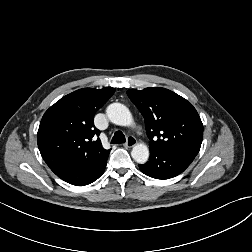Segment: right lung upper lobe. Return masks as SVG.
<instances>
[{
	"instance_id": "1",
	"label": "right lung upper lobe",
	"mask_w": 252,
	"mask_h": 252,
	"mask_svg": "<svg viewBox=\"0 0 252 252\" xmlns=\"http://www.w3.org/2000/svg\"><path fill=\"white\" fill-rule=\"evenodd\" d=\"M115 89L82 88L57 101L43 115L37 133L39 151L55 173L91 161L108 158L100 131L93 124L94 114L114 94Z\"/></svg>"
}]
</instances>
